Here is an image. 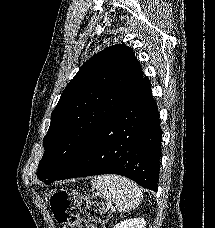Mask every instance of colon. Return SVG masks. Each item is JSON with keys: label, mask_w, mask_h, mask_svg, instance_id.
Instances as JSON below:
<instances>
[{"label": "colon", "mask_w": 215, "mask_h": 228, "mask_svg": "<svg viewBox=\"0 0 215 228\" xmlns=\"http://www.w3.org/2000/svg\"><path fill=\"white\" fill-rule=\"evenodd\" d=\"M53 215L65 228H100L109 219L106 205L100 201H91L87 196H79L74 201L66 192H57L50 199ZM85 211L89 222L81 220L79 213Z\"/></svg>", "instance_id": "colon-1"}]
</instances>
